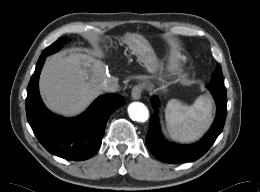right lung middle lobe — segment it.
<instances>
[{
    "label": "right lung middle lobe",
    "instance_id": "dd1d6c3e",
    "mask_svg": "<svg viewBox=\"0 0 260 192\" xmlns=\"http://www.w3.org/2000/svg\"><path fill=\"white\" fill-rule=\"evenodd\" d=\"M67 41V39L65 37H62L60 39H58L56 42H54L52 45H50L49 47H47L43 53L41 54L40 57H47L55 52H57L62 45Z\"/></svg>",
    "mask_w": 260,
    "mask_h": 192
}]
</instances>
